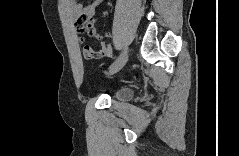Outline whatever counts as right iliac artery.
<instances>
[{"label":"right iliac artery","instance_id":"right-iliac-artery-1","mask_svg":"<svg viewBox=\"0 0 239 156\" xmlns=\"http://www.w3.org/2000/svg\"><path fill=\"white\" fill-rule=\"evenodd\" d=\"M126 52H127V48L125 47L123 51L121 52V54L117 57V59L112 63V65H114L120 58H122Z\"/></svg>","mask_w":239,"mask_h":156}]
</instances>
